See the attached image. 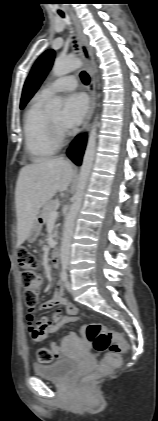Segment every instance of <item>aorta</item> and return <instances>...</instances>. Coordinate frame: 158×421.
<instances>
[{
  "label": "aorta",
  "instance_id": "aorta-1",
  "mask_svg": "<svg viewBox=\"0 0 158 421\" xmlns=\"http://www.w3.org/2000/svg\"><path fill=\"white\" fill-rule=\"evenodd\" d=\"M80 67H82V62L78 58H56L52 67V73L54 76L60 77L76 69H79ZM61 106H62L61 101L58 98H53L49 103V108L54 111L60 110ZM96 139H97V123L96 121H94L89 133L82 166L80 169L78 184L76 188V194L74 196V201L64 221L63 236H62V242H61V253H60V259L62 263H67L69 260L74 223L82 204L84 190H85V187H86V184L91 172V168L93 165L94 156H95V148H96Z\"/></svg>",
  "mask_w": 158,
  "mask_h": 421
}]
</instances>
